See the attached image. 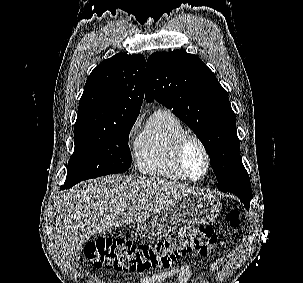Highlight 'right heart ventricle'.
I'll return each mask as SVG.
<instances>
[{
  "mask_svg": "<svg viewBox=\"0 0 303 283\" xmlns=\"http://www.w3.org/2000/svg\"><path fill=\"white\" fill-rule=\"evenodd\" d=\"M186 133L176 115L167 110L155 111L135 146L139 171L173 181L188 180L176 158L177 144Z\"/></svg>",
  "mask_w": 303,
  "mask_h": 283,
  "instance_id": "right-heart-ventricle-1",
  "label": "right heart ventricle"
}]
</instances>
